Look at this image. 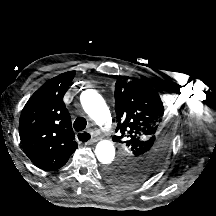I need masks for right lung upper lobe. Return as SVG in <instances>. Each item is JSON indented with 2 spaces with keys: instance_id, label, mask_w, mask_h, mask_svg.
Wrapping results in <instances>:
<instances>
[{
  "instance_id": "1",
  "label": "right lung upper lobe",
  "mask_w": 216,
  "mask_h": 216,
  "mask_svg": "<svg viewBox=\"0 0 216 216\" xmlns=\"http://www.w3.org/2000/svg\"><path fill=\"white\" fill-rule=\"evenodd\" d=\"M75 71L60 74L41 86L24 106L19 135L29 159L45 171L61 168L77 144L63 96Z\"/></svg>"
}]
</instances>
